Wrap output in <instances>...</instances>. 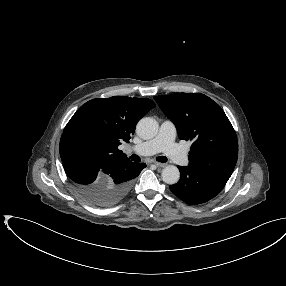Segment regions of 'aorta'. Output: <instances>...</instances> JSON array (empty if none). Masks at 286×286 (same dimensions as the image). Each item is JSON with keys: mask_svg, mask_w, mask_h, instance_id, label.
I'll return each mask as SVG.
<instances>
[{"mask_svg": "<svg viewBox=\"0 0 286 286\" xmlns=\"http://www.w3.org/2000/svg\"><path fill=\"white\" fill-rule=\"evenodd\" d=\"M136 132L142 139L154 138L158 132V123L150 117L142 118L137 124ZM161 176L165 183L172 185L179 181L180 172L176 166L168 165L163 168Z\"/></svg>", "mask_w": 286, "mask_h": 286, "instance_id": "762f6f07", "label": "aorta"}]
</instances>
